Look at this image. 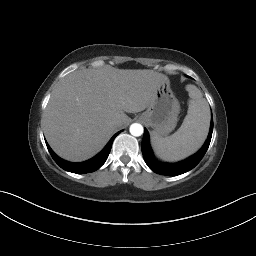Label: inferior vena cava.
<instances>
[{"label": "inferior vena cava", "mask_w": 256, "mask_h": 256, "mask_svg": "<svg viewBox=\"0 0 256 256\" xmlns=\"http://www.w3.org/2000/svg\"><path fill=\"white\" fill-rule=\"evenodd\" d=\"M111 126L115 129V130H120L122 128V123L118 120V119H113L111 121Z\"/></svg>", "instance_id": "602c4592"}]
</instances>
